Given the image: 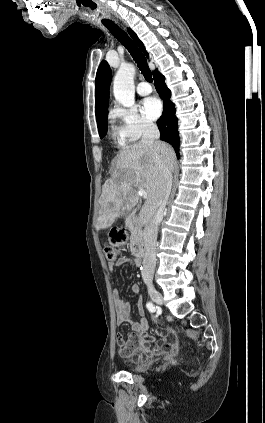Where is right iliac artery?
Segmentation results:
<instances>
[{
	"label": "right iliac artery",
	"instance_id": "obj_1",
	"mask_svg": "<svg viewBox=\"0 0 265 423\" xmlns=\"http://www.w3.org/2000/svg\"><path fill=\"white\" fill-rule=\"evenodd\" d=\"M146 307L148 308L149 311L154 312L155 311V305L152 302H148L146 304Z\"/></svg>",
	"mask_w": 265,
	"mask_h": 423
}]
</instances>
